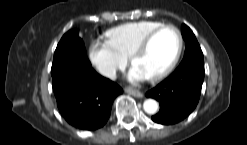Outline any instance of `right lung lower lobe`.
Here are the masks:
<instances>
[{
    "label": "right lung lower lobe",
    "mask_w": 247,
    "mask_h": 145,
    "mask_svg": "<svg viewBox=\"0 0 247 145\" xmlns=\"http://www.w3.org/2000/svg\"><path fill=\"white\" fill-rule=\"evenodd\" d=\"M58 109L72 126L96 130L108 120L114 99L123 92L97 74L87 56H74L51 69Z\"/></svg>",
    "instance_id": "98d812e1"
}]
</instances>
